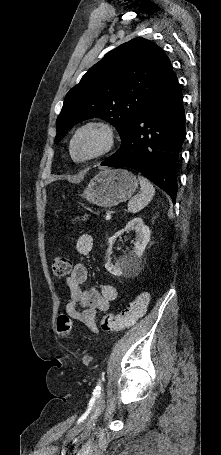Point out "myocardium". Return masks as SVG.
Segmentation results:
<instances>
[{
    "label": "myocardium",
    "mask_w": 221,
    "mask_h": 455,
    "mask_svg": "<svg viewBox=\"0 0 221 455\" xmlns=\"http://www.w3.org/2000/svg\"><path fill=\"white\" fill-rule=\"evenodd\" d=\"M88 131H95L99 133L103 138V144L101 148L86 157H78L75 153V145L81 135ZM116 133L112 124L103 120H89L81 124L72 135L70 140V153L73 159L77 162H86L100 158L109 153L115 146Z\"/></svg>",
    "instance_id": "1"
}]
</instances>
